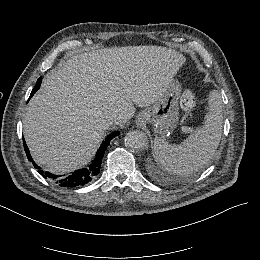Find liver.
<instances>
[{"label":"liver","instance_id":"liver-1","mask_svg":"<svg viewBox=\"0 0 260 260\" xmlns=\"http://www.w3.org/2000/svg\"><path fill=\"white\" fill-rule=\"evenodd\" d=\"M184 64L167 48L130 46L78 54L52 70L26 108L23 133L34 159L53 173L86 164L109 128L106 115L125 124L134 106L160 99Z\"/></svg>","mask_w":260,"mask_h":260}]
</instances>
